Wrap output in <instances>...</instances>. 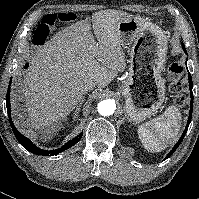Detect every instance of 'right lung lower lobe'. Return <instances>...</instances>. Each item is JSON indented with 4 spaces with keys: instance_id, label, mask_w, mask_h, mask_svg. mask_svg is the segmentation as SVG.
I'll return each instance as SVG.
<instances>
[{
    "instance_id": "98d812e1",
    "label": "right lung lower lobe",
    "mask_w": 199,
    "mask_h": 199,
    "mask_svg": "<svg viewBox=\"0 0 199 199\" xmlns=\"http://www.w3.org/2000/svg\"><path fill=\"white\" fill-rule=\"evenodd\" d=\"M10 84H11V79H10V83H9V87L7 90V96H6V105H7V113H8V117H9V122L10 125L12 127V130L17 138V140L19 141V143L29 152L33 153V154H38V155H44V156H48V155H56L58 153H61L67 149H69L70 147H72L73 145H75L81 138L82 134L81 133L79 136L75 137L74 139L68 141L64 146H62L59 149L56 150H43L38 148L37 146H35L31 140H29L27 137H25L24 135H22L14 126L12 119H11V111H10Z\"/></svg>"
}]
</instances>
